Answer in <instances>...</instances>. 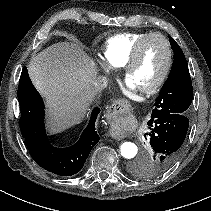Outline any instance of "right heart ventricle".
I'll return each instance as SVG.
<instances>
[{
	"label": "right heart ventricle",
	"mask_w": 211,
	"mask_h": 211,
	"mask_svg": "<svg viewBox=\"0 0 211 211\" xmlns=\"http://www.w3.org/2000/svg\"><path fill=\"white\" fill-rule=\"evenodd\" d=\"M148 32H126L110 37L102 48L104 62L114 68H123L137 41Z\"/></svg>",
	"instance_id": "1"
}]
</instances>
